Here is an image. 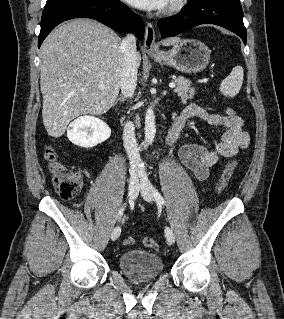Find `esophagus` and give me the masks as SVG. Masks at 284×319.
<instances>
[{"label": "esophagus", "instance_id": "esophagus-1", "mask_svg": "<svg viewBox=\"0 0 284 319\" xmlns=\"http://www.w3.org/2000/svg\"><path fill=\"white\" fill-rule=\"evenodd\" d=\"M144 50L146 52L158 51V46L155 43V29L152 23L148 22L146 25L145 39H144Z\"/></svg>", "mask_w": 284, "mask_h": 319}]
</instances>
